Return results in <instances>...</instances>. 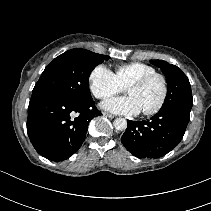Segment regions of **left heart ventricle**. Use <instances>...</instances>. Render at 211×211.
I'll return each mask as SVG.
<instances>
[{"label": "left heart ventricle", "mask_w": 211, "mask_h": 211, "mask_svg": "<svg viewBox=\"0 0 211 211\" xmlns=\"http://www.w3.org/2000/svg\"><path fill=\"white\" fill-rule=\"evenodd\" d=\"M162 92L163 86L159 78L151 80L143 87H133L127 90L128 95L136 99L141 111L154 108L159 103Z\"/></svg>", "instance_id": "b2bd125f"}]
</instances>
